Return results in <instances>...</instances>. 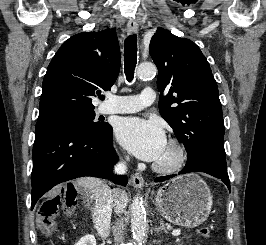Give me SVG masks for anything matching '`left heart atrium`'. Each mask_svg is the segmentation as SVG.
I'll use <instances>...</instances> for the list:
<instances>
[{
	"mask_svg": "<svg viewBox=\"0 0 266 245\" xmlns=\"http://www.w3.org/2000/svg\"><path fill=\"white\" fill-rule=\"evenodd\" d=\"M115 133L124 148L148 162H156L167 144L165 132L155 120L121 118L115 125Z\"/></svg>",
	"mask_w": 266,
	"mask_h": 245,
	"instance_id": "39dd6f15",
	"label": "left heart atrium"
}]
</instances>
